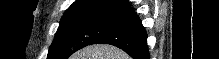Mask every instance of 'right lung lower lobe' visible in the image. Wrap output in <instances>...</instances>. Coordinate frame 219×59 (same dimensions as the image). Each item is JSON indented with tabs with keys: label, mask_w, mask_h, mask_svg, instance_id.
Returning a JSON list of instances; mask_svg holds the SVG:
<instances>
[{
	"label": "right lung lower lobe",
	"mask_w": 219,
	"mask_h": 59,
	"mask_svg": "<svg viewBox=\"0 0 219 59\" xmlns=\"http://www.w3.org/2000/svg\"><path fill=\"white\" fill-rule=\"evenodd\" d=\"M114 12L125 15L127 19L103 34L93 44L114 45L128 53L133 59H149L147 33L129 2L126 1L119 5Z\"/></svg>",
	"instance_id": "right-lung-lower-lobe-1"
}]
</instances>
